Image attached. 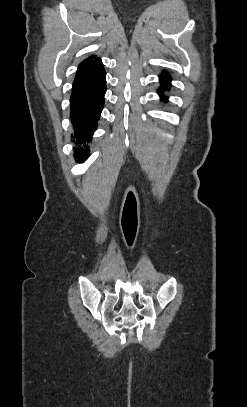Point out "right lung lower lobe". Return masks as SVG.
Instances as JSON below:
<instances>
[{"label": "right lung lower lobe", "mask_w": 247, "mask_h": 407, "mask_svg": "<svg viewBox=\"0 0 247 407\" xmlns=\"http://www.w3.org/2000/svg\"><path fill=\"white\" fill-rule=\"evenodd\" d=\"M106 72L100 58L79 66L73 82L70 108L74 128L75 157L80 161L90 155L86 142H91L104 106Z\"/></svg>", "instance_id": "98d812e1"}]
</instances>
